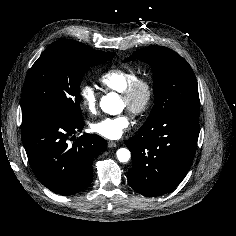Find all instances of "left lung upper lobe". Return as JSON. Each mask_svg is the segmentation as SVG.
<instances>
[{
	"instance_id": "1",
	"label": "left lung upper lobe",
	"mask_w": 236,
	"mask_h": 236,
	"mask_svg": "<svg viewBox=\"0 0 236 236\" xmlns=\"http://www.w3.org/2000/svg\"><path fill=\"white\" fill-rule=\"evenodd\" d=\"M136 59L149 63L154 76L155 105L143 125L173 113H199L196 77L184 58L167 47L150 46L135 51L127 60Z\"/></svg>"
}]
</instances>
